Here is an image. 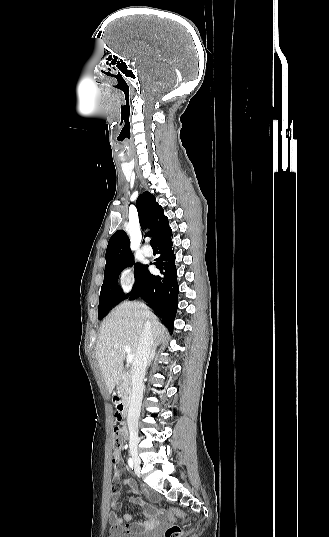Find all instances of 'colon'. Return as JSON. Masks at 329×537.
<instances>
[{"mask_svg":"<svg viewBox=\"0 0 329 537\" xmlns=\"http://www.w3.org/2000/svg\"><path fill=\"white\" fill-rule=\"evenodd\" d=\"M126 431L120 427L115 426L113 429V446L115 449H120L126 441ZM168 516L172 520H178L182 516V512L178 509H172L169 511ZM181 528L176 524H171L165 530L164 537H181Z\"/></svg>","mask_w":329,"mask_h":537,"instance_id":"5ec220e1","label":"colon"}]
</instances>
